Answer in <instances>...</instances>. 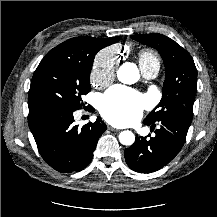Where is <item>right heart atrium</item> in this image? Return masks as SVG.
I'll use <instances>...</instances> for the list:
<instances>
[{
  "label": "right heart atrium",
  "instance_id": "obj_1",
  "mask_svg": "<svg viewBox=\"0 0 217 217\" xmlns=\"http://www.w3.org/2000/svg\"><path fill=\"white\" fill-rule=\"evenodd\" d=\"M118 54L113 48H105L100 51L94 60L90 78L91 81L100 86L106 87L112 83L115 76Z\"/></svg>",
  "mask_w": 217,
  "mask_h": 217
}]
</instances>
